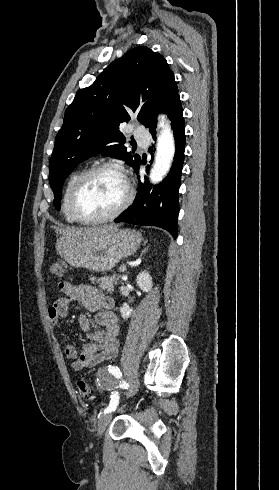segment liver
Returning <instances> with one entry per match:
<instances>
[{
	"instance_id": "liver-1",
	"label": "liver",
	"mask_w": 279,
	"mask_h": 490,
	"mask_svg": "<svg viewBox=\"0 0 279 490\" xmlns=\"http://www.w3.org/2000/svg\"><path fill=\"white\" fill-rule=\"evenodd\" d=\"M54 230H58L62 236H67V238H72V240H78V238H87V236H93V234H106L109 230H117V226H100V228H56V226H52Z\"/></svg>"
}]
</instances>
